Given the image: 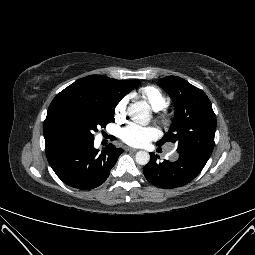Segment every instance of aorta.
<instances>
[{"label":"aorta","mask_w":255,"mask_h":255,"mask_svg":"<svg viewBox=\"0 0 255 255\" xmlns=\"http://www.w3.org/2000/svg\"><path fill=\"white\" fill-rule=\"evenodd\" d=\"M128 115L131 120L141 125H146L150 121L151 115L149 107L144 102H136L128 107ZM150 160V155L146 151H138L135 155V161L139 165H146Z\"/></svg>","instance_id":"1"}]
</instances>
